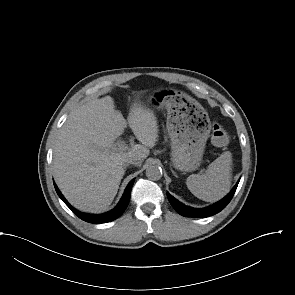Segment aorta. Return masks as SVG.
I'll use <instances>...</instances> for the list:
<instances>
[{
  "label": "aorta",
  "instance_id": "obj_1",
  "mask_svg": "<svg viewBox=\"0 0 295 295\" xmlns=\"http://www.w3.org/2000/svg\"><path fill=\"white\" fill-rule=\"evenodd\" d=\"M146 176L150 180H159L162 177V169L158 165H149L146 169Z\"/></svg>",
  "mask_w": 295,
  "mask_h": 295
}]
</instances>
